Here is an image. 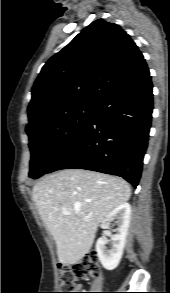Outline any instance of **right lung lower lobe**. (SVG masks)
Wrapping results in <instances>:
<instances>
[{
    "label": "right lung lower lobe",
    "mask_w": 170,
    "mask_h": 293,
    "mask_svg": "<svg viewBox=\"0 0 170 293\" xmlns=\"http://www.w3.org/2000/svg\"><path fill=\"white\" fill-rule=\"evenodd\" d=\"M149 70L104 98L81 136L52 164L123 177L138 185L151 127L153 94Z\"/></svg>",
    "instance_id": "obj_1"
}]
</instances>
